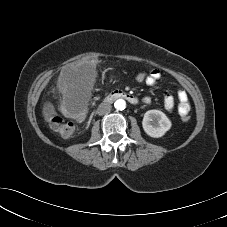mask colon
Here are the masks:
<instances>
[{"label": "colon", "mask_w": 227, "mask_h": 227, "mask_svg": "<svg viewBox=\"0 0 227 227\" xmlns=\"http://www.w3.org/2000/svg\"><path fill=\"white\" fill-rule=\"evenodd\" d=\"M148 73L139 72L134 75L137 83L144 84L148 79ZM62 114H58L54 106L50 103L45 105L44 116L49 122L51 128L61 136H71L74 132V124L72 120L80 121L85 115L84 108L77 103L70 102L62 106ZM183 121L190 119L188 113L180 114Z\"/></svg>", "instance_id": "5ec220e1"}]
</instances>
